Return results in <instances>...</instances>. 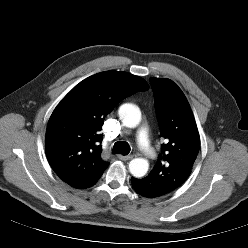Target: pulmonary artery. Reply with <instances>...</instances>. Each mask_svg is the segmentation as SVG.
<instances>
[{
	"instance_id": "pulmonary-artery-1",
	"label": "pulmonary artery",
	"mask_w": 248,
	"mask_h": 248,
	"mask_svg": "<svg viewBox=\"0 0 248 248\" xmlns=\"http://www.w3.org/2000/svg\"><path fill=\"white\" fill-rule=\"evenodd\" d=\"M137 144L140 149L144 151H148L150 144H149V134L148 129L146 127H141L137 133Z\"/></svg>"
}]
</instances>
